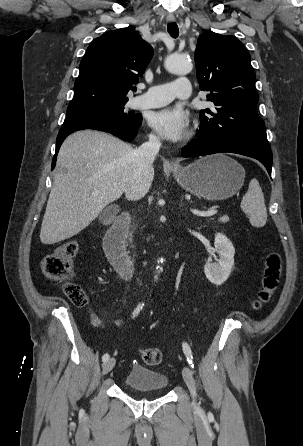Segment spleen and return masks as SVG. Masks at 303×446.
<instances>
[{"label":"spleen","instance_id":"spleen-1","mask_svg":"<svg viewBox=\"0 0 303 446\" xmlns=\"http://www.w3.org/2000/svg\"><path fill=\"white\" fill-rule=\"evenodd\" d=\"M241 209L249 216L254 227H263L267 221L264 195L257 179H252L241 201Z\"/></svg>","mask_w":303,"mask_h":446}]
</instances>
